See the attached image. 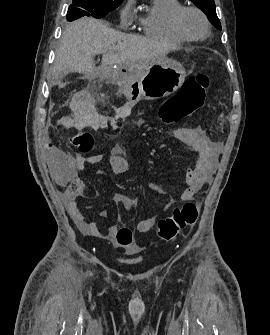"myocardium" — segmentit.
I'll use <instances>...</instances> for the list:
<instances>
[{"label":"myocardium","mask_w":270,"mask_h":335,"mask_svg":"<svg viewBox=\"0 0 270 335\" xmlns=\"http://www.w3.org/2000/svg\"><path fill=\"white\" fill-rule=\"evenodd\" d=\"M188 11H193L196 12L197 14H199L201 16V18L204 21L205 24V34L202 37L199 38H194L192 36H190L183 28L182 25V17L183 15L188 12ZM172 24L174 29L176 30V32L178 34H180L182 37L191 40V41H199V40H203L205 38H207L210 35L211 32V25L210 22L207 18V16L204 14L203 11H201L200 9L196 8V7H191V6H187V7H182L179 10H177L172 17Z\"/></svg>","instance_id":"myocardium-1"}]
</instances>
